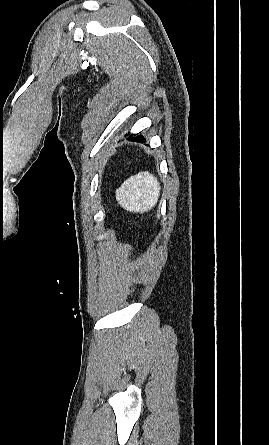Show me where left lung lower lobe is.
Segmentation results:
<instances>
[{"instance_id":"1","label":"left lung lower lobe","mask_w":269,"mask_h":445,"mask_svg":"<svg viewBox=\"0 0 269 445\" xmlns=\"http://www.w3.org/2000/svg\"><path fill=\"white\" fill-rule=\"evenodd\" d=\"M132 141H136V142H144V137L142 135L140 136H136V137H131Z\"/></svg>"}]
</instances>
